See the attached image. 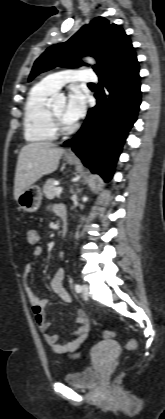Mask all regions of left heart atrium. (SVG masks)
<instances>
[{"label": "left heart atrium", "instance_id": "obj_1", "mask_svg": "<svg viewBox=\"0 0 165 419\" xmlns=\"http://www.w3.org/2000/svg\"><path fill=\"white\" fill-rule=\"evenodd\" d=\"M86 97L78 88H73L67 98L64 119L68 123L79 120L85 113Z\"/></svg>", "mask_w": 165, "mask_h": 419}]
</instances>
